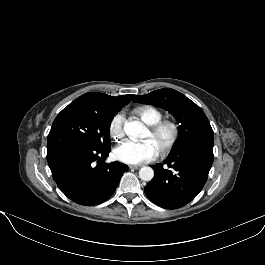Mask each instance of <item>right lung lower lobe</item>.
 I'll return each mask as SVG.
<instances>
[{"label": "right lung lower lobe", "instance_id": "1", "mask_svg": "<svg viewBox=\"0 0 265 265\" xmlns=\"http://www.w3.org/2000/svg\"><path fill=\"white\" fill-rule=\"evenodd\" d=\"M111 148H95L79 139L57 138L47 142V161L59 189L72 201L86 206L108 199L128 166L105 164Z\"/></svg>", "mask_w": 265, "mask_h": 265}]
</instances>
